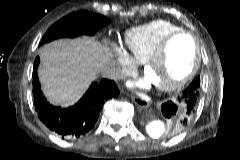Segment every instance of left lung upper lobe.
<instances>
[{
    "label": "left lung upper lobe",
    "instance_id": "obj_1",
    "mask_svg": "<svg viewBox=\"0 0 240 160\" xmlns=\"http://www.w3.org/2000/svg\"><path fill=\"white\" fill-rule=\"evenodd\" d=\"M190 86L193 87V90L199 91V89H200V78H199V76H197V77L194 79V81L190 84ZM191 119H192V118H191ZM191 119H189L188 122H190ZM186 125H187V124L178 122V123L175 125V129L181 130V129H183Z\"/></svg>",
    "mask_w": 240,
    "mask_h": 160
}]
</instances>
